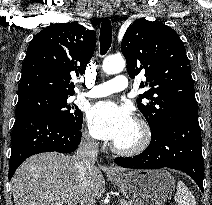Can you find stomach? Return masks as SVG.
Here are the masks:
<instances>
[{
    "mask_svg": "<svg viewBox=\"0 0 212 205\" xmlns=\"http://www.w3.org/2000/svg\"><path fill=\"white\" fill-rule=\"evenodd\" d=\"M111 178L132 205H162L175 188V180L166 170H132Z\"/></svg>",
    "mask_w": 212,
    "mask_h": 205,
    "instance_id": "0dacf381",
    "label": "stomach"
}]
</instances>
